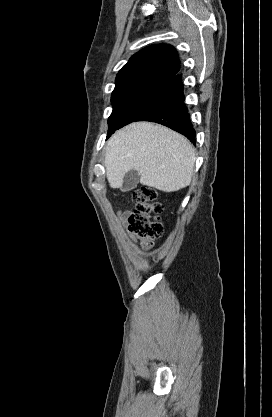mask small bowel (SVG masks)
Returning <instances> with one entry per match:
<instances>
[{
    "mask_svg": "<svg viewBox=\"0 0 272 417\" xmlns=\"http://www.w3.org/2000/svg\"><path fill=\"white\" fill-rule=\"evenodd\" d=\"M119 215H120L121 220L125 223L127 221L129 214L128 212H121Z\"/></svg>",
    "mask_w": 272,
    "mask_h": 417,
    "instance_id": "obj_1",
    "label": "small bowel"
}]
</instances>
